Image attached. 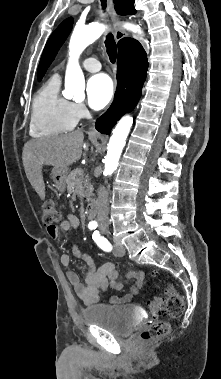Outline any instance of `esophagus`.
<instances>
[{"instance_id": "34e87169", "label": "esophagus", "mask_w": 221, "mask_h": 379, "mask_svg": "<svg viewBox=\"0 0 221 379\" xmlns=\"http://www.w3.org/2000/svg\"><path fill=\"white\" fill-rule=\"evenodd\" d=\"M107 4H108V11H109L111 20H112V22L114 23V26H115V28H114L115 39L117 41H120L122 38L125 37V33H124V31L119 26V19L117 17V14H116V11H115V8H114V2H113V0H107Z\"/></svg>"}]
</instances>
